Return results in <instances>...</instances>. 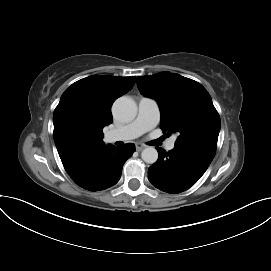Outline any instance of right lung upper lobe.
<instances>
[{
  "label": "right lung upper lobe",
  "mask_w": 271,
  "mask_h": 271,
  "mask_svg": "<svg viewBox=\"0 0 271 271\" xmlns=\"http://www.w3.org/2000/svg\"><path fill=\"white\" fill-rule=\"evenodd\" d=\"M135 78L93 75L63 93L53 114V137L69 175L109 146L103 142L102 131L113 121L111 106L132 89Z\"/></svg>",
  "instance_id": "1"
}]
</instances>
